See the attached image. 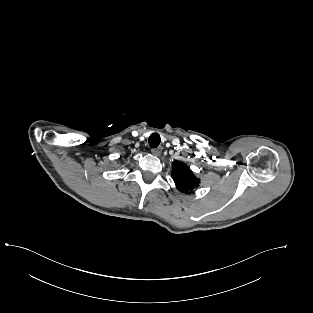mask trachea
Listing matches in <instances>:
<instances>
[{
	"mask_svg": "<svg viewBox=\"0 0 313 313\" xmlns=\"http://www.w3.org/2000/svg\"><path fill=\"white\" fill-rule=\"evenodd\" d=\"M148 141L151 148H157L161 142L160 135L157 133H153L149 136Z\"/></svg>",
	"mask_w": 313,
	"mask_h": 313,
	"instance_id": "trachea-1",
	"label": "trachea"
}]
</instances>
